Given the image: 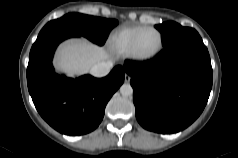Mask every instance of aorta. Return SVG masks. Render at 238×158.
<instances>
[{
  "label": "aorta",
  "instance_id": "762f6f07",
  "mask_svg": "<svg viewBox=\"0 0 238 158\" xmlns=\"http://www.w3.org/2000/svg\"><path fill=\"white\" fill-rule=\"evenodd\" d=\"M120 93H121L123 96H130V95L133 93L132 86H131L130 84H123V85L120 87Z\"/></svg>",
  "mask_w": 238,
  "mask_h": 158
}]
</instances>
